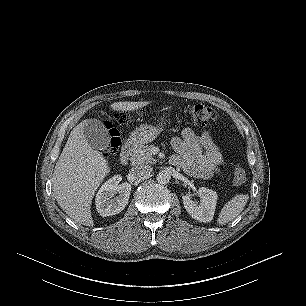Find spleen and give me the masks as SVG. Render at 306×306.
Wrapping results in <instances>:
<instances>
[{"label": "spleen", "instance_id": "3e777b00", "mask_svg": "<svg viewBox=\"0 0 306 306\" xmlns=\"http://www.w3.org/2000/svg\"><path fill=\"white\" fill-rule=\"evenodd\" d=\"M248 199L249 196L244 194L234 196L222 208L217 223L224 225L234 220L243 211Z\"/></svg>", "mask_w": 306, "mask_h": 306}]
</instances>
